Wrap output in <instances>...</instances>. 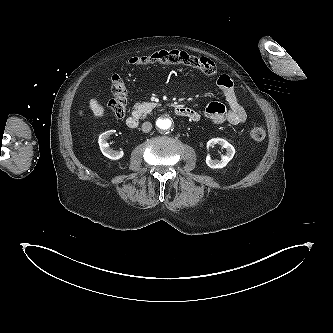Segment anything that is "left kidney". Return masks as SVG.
Wrapping results in <instances>:
<instances>
[{
    "instance_id": "1",
    "label": "left kidney",
    "mask_w": 333,
    "mask_h": 333,
    "mask_svg": "<svg viewBox=\"0 0 333 333\" xmlns=\"http://www.w3.org/2000/svg\"><path fill=\"white\" fill-rule=\"evenodd\" d=\"M218 144L222 148L226 149V155L221 157V160H213L211 157L208 155L206 157V164L208 167L212 169H220L225 167L230 160L235 155V148L225 139L222 138H213L207 142V148L211 147L212 145Z\"/></svg>"
}]
</instances>
